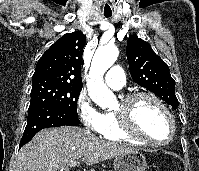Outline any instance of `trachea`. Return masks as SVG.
<instances>
[{"mask_svg":"<svg viewBox=\"0 0 199 171\" xmlns=\"http://www.w3.org/2000/svg\"><path fill=\"white\" fill-rule=\"evenodd\" d=\"M104 16H105L106 18H109V17L112 16V12H104Z\"/></svg>","mask_w":199,"mask_h":171,"instance_id":"3493384b","label":"trachea"}]
</instances>
